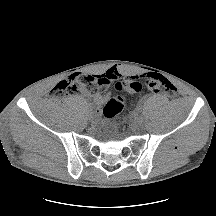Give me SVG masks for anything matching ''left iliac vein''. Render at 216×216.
Returning <instances> with one entry per match:
<instances>
[{
	"label": "left iliac vein",
	"mask_w": 216,
	"mask_h": 216,
	"mask_svg": "<svg viewBox=\"0 0 216 216\" xmlns=\"http://www.w3.org/2000/svg\"><path fill=\"white\" fill-rule=\"evenodd\" d=\"M143 124V118L141 116H136L133 120L134 128H139Z\"/></svg>",
	"instance_id": "obj_1"
}]
</instances>
